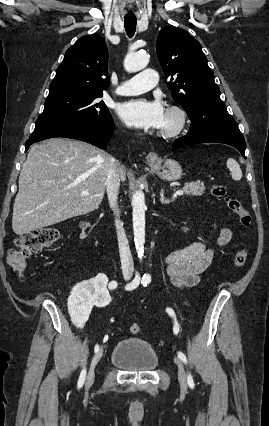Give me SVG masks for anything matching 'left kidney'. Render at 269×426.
Instances as JSON below:
<instances>
[{"label":"left kidney","mask_w":269,"mask_h":426,"mask_svg":"<svg viewBox=\"0 0 269 426\" xmlns=\"http://www.w3.org/2000/svg\"><path fill=\"white\" fill-rule=\"evenodd\" d=\"M183 230H184V232H187V231H188V228H184Z\"/></svg>","instance_id":"5707ae66"}]
</instances>
